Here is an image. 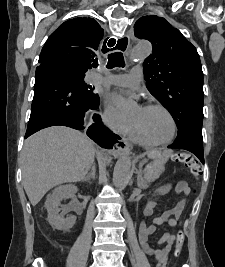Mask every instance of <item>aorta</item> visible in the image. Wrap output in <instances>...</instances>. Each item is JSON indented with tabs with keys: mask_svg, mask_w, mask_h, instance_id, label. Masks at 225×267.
<instances>
[{
	"mask_svg": "<svg viewBox=\"0 0 225 267\" xmlns=\"http://www.w3.org/2000/svg\"><path fill=\"white\" fill-rule=\"evenodd\" d=\"M150 43L137 44L132 53V60L141 61L151 52ZM114 99L118 104H124L125 101L117 94L114 95ZM131 161L129 157L123 156L118 159L115 164L113 172V185L119 190H123L130 178Z\"/></svg>",
	"mask_w": 225,
	"mask_h": 267,
	"instance_id": "aorta-1",
	"label": "aorta"
}]
</instances>
